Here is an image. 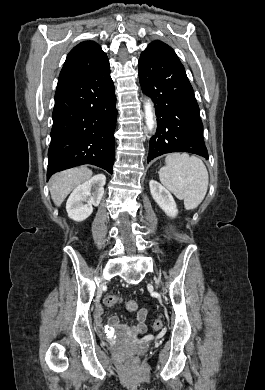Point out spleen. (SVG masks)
<instances>
[{"mask_svg": "<svg viewBox=\"0 0 265 390\" xmlns=\"http://www.w3.org/2000/svg\"><path fill=\"white\" fill-rule=\"evenodd\" d=\"M166 165L159 170L161 183L179 200H184L187 210L195 209L203 201L209 176L203 161L196 156L173 153L165 158Z\"/></svg>", "mask_w": 265, "mask_h": 390, "instance_id": "1", "label": "spleen"}]
</instances>
